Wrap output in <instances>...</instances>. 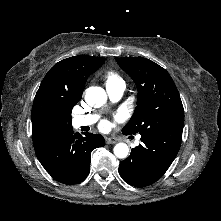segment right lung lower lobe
I'll use <instances>...</instances> for the list:
<instances>
[{
	"mask_svg": "<svg viewBox=\"0 0 221 221\" xmlns=\"http://www.w3.org/2000/svg\"><path fill=\"white\" fill-rule=\"evenodd\" d=\"M85 136L72 130L57 140L35 150L45 170L63 184H78L90 171V156L93 149L105 145L99 134L85 133Z\"/></svg>",
	"mask_w": 221,
	"mask_h": 221,
	"instance_id": "obj_1",
	"label": "right lung lower lobe"
}]
</instances>
